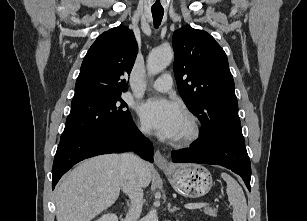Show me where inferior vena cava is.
<instances>
[{"mask_svg": "<svg viewBox=\"0 0 307 221\" xmlns=\"http://www.w3.org/2000/svg\"><path fill=\"white\" fill-rule=\"evenodd\" d=\"M123 158L124 173L121 182V189L131 199L126 221H137L142 212L143 189L139 179V171L144 162L133 153L123 154Z\"/></svg>", "mask_w": 307, "mask_h": 221, "instance_id": "obj_1", "label": "inferior vena cava"}]
</instances>
